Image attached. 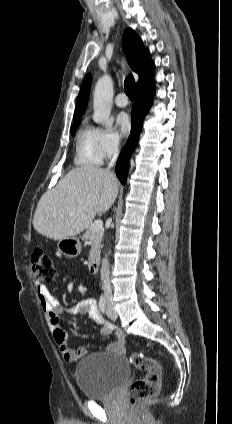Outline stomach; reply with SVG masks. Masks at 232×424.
<instances>
[{"instance_id":"stomach-1","label":"stomach","mask_w":232,"mask_h":424,"mask_svg":"<svg viewBox=\"0 0 232 424\" xmlns=\"http://www.w3.org/2000/svg\"><path fill=\"white\" fill-rule=\"evenodd\" d=\"M58 250L68 258H75L81 252V243L77 237H66L59 240Z\"/></svg>"}]
</instances>
